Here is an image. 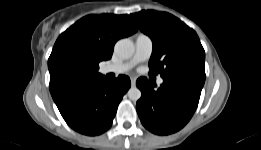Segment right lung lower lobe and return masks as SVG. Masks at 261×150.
<instances>
[{
  "label": "right lung lower lobe",
  "instance_id": "98d812e1",
  "mask_svg": "<svg viewBox=\"0 0 261 150\" xmlns=\"http://www.w3.org/2000/svg\"><path fill=\"white\" fill-rule=\"evenodd\" d=\"M130 86L127 76L120 75L114 80L105 77L74 88L54 101L72 129L85 135H99L111 127L118 104Z\"/></svg>",
  "mask_w": 261,
  "mask_h": 150
}]
</instances>
